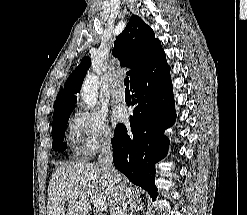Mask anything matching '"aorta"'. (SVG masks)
Wrapping results in <instances>:
<instances>
[{"label": "aorta", "instance_id": "762f6f07", "mask_svg": "<svg viewBox=\"0 0 247 215\" xmlns=\"http://www.w3.org/2000/svg\"><path fill=\"white\" fill-rule=\"evenodd\" d=\"M98 83V77L94 74H88L83 82L80 95L88 109H92L97 103Z\"/></svg>", "mask_w": 247, "mask_h": 215}]
</instances>
